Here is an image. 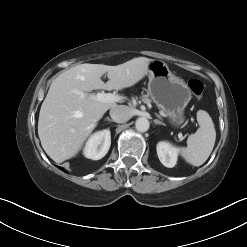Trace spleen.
<instances>
[{
  "label": "spleen",
  "instance_id": "spleen-1",
  "mask_svg": "<svg viewBox=\"0 0 247 247\" xmlns=\"http://www.w3.org/2000/svg\"><path fill=\"white\" fill-rule=\"evenodd\" d=\"M199 129L187 139V147L180 148L183 158L193 166H201L210 156L215 140L216 131L209 114L204 110L197 112Z\"/></svg>",
  "mask_w": 247,
  "mask_h": 247
}]
</instances>
